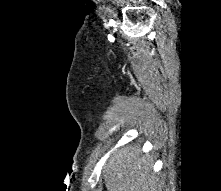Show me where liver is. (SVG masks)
Instances as JSON below:
<instances>
[{
  "label": "liver",
  "instance_id": "obj_1",
  "mask_svg": "<svg viewBox=\"0 0 221 191\" xmlns=\"http://www.w3.org/2000/svg\"><path fill=\"white\" fill-rule=\"evenodd\" d=\"M149 155L141 148L125 146L114 152L103 168L109 191H157L158 178Z\"/></svg>",
  "mask_w": 221,
  "mask_h": 191
}]
</instances>
